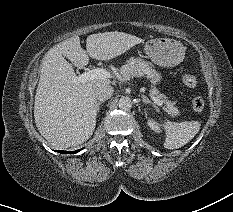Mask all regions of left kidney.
I'll use <instances>...</instances> for the list:
<instances>
[{"label":"left kidney","mask_w":233,"mask_h":212,"mask_svg":"<svg viewBox=\"0 0 233 212\" xmlns=\"http://www.w3.org/2000/svg\"><path fill=\"white\" fill-rule=\"evenodd\" d=\"M147 124L149 125V127L151 128V130L155 131L156 133H160V125L155 122L153 119H148Z\"/></svg>","instance_id":"obj_1"}]
</instances>
